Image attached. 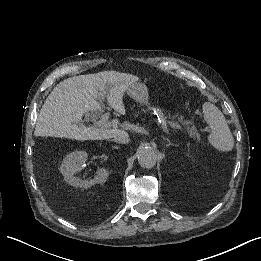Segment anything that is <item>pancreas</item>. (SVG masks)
<instances>
[{"instance_id":"pancreas-1","label":"pancreas","mask_w":261,"mask_h":261,"mask_svg":"<svg viewBox=\"0 0 261 261\" xmlns=\"http://www.w3.org/2000/svg\"><path fill=\"white\" fill-rule=\"evenodd\" d=\"M160 111L161 113H164L169 118H173L177 122H181L184 124V127L187 128V131H190V134H194V136H198V140L200 139V134L196 132V129L192 124L189 122L187 118L184 116H181L180 114H177L176 112H173L172 110L166 109L162 104H155L154 106L152 104H148L147 106L140 107L139 109H135L132 112V115L134 117L139 116L140 114H144L147 111Z\"/></svg>"}]
</instances>
